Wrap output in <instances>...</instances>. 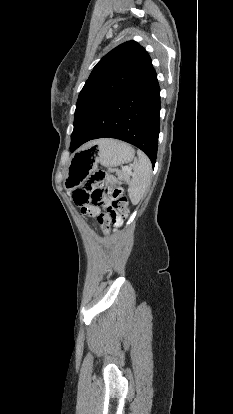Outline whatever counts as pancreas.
<instances>
[{
	"label": "pancreas",
	"instance_id": "obj_1",
	"mask_svg": "<svg viewBox=\"0 0 233 414\" xmlns=\"http://www.w3.org/2000/svg\"><path fill=\"white\" fill-rule=\"evenodd\" d=\"M120 179H124L126 182H129V173L127 171L116 172Z\"/></svg>",
	"mask_w": 233,
	"mask_h": 414
}]
</instances>
